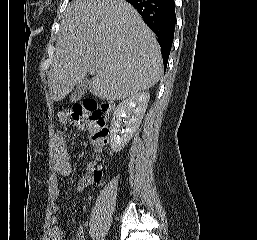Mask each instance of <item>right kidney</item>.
Returning <instances> with one entry per match:
<instances>
[{"instance_id": "obj_1", "label": "right kidney", "mask_w": 257, "mask_h": 240, "mask_svg": "<svg viewBox=\"0 0 257 240\" xmlns=\"http://www.w3.org/2000/svg\"><path fill=\"white\" fill-rule=\"evenodd\" d=\"M150 99L148 92L136 93L123 100L115 109L110 129V146L121 151L138 130ZM125 129H122V127Z\"/></svg>"}]
</instances>
